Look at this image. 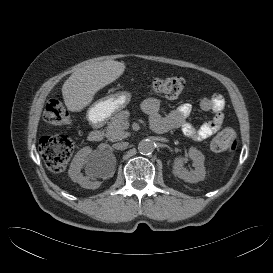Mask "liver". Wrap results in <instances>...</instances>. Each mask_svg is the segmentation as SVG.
Masks as SVG:
<instances>
[{
    "mask_svg": "<svg viewBox=\"0 0 273 273\" xmlns=\"http://www.w3.org/2000/svg\"><path fill=\"white\" fill-rule=\"evenodd\" d=\"M125 68L124 62L107 60L77 69L62 86L67 109L72 112L83 110L92 102L96 92L118 79Z\"/></svg>",
    "mask_w": 273,
    "mask_h": 273,
    "instance_id": "obj_1",
    "label": "liver"
}]
</instances>
